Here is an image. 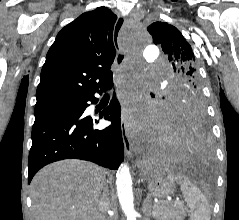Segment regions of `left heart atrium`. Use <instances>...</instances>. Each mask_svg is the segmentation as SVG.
I'll use <instances>...</instances> for the list:
<instances>
[{
    "label": "left heart atrium",
    "mask_w": 239,
    "mask_h": 220,
    "mask_svg": "<svg viewBox=\"0 0 239 220\" xmlns=\"http://www.w3.org/2000/svg\"><path fill=\"white\" fill-rule=\"evenodd\" d=\"M133 101L127 102L126 115L130 126L136 134H142L143 131L154 127V116L144 117L139 119L136 117V113L150 114L152 106L147 101H141L138 104H131Z\"/></svg>",
    "instance_id": "left-heart-atrium-1"
}]
</instances>
